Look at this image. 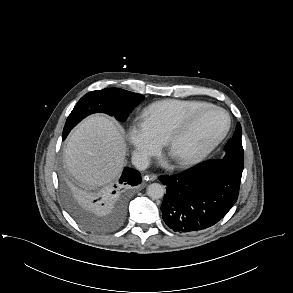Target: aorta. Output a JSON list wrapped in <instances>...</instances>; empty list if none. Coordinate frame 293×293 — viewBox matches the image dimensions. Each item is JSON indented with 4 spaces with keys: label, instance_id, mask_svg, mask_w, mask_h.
<instances>
[{
    "label": "aorta",
    "instance_id": "1",
    "mask_svg": "<svg viewBox=\"0 0 293 293\" xmlns=\"http://www.w3.org/2000/svg\"><path fill=\"white\" fill-rule=\"evenodd\" d=\"M165 189L159 183H152L147 188V195L154 200L160 199L164 196Z\"/></svg>",
    "mask_w": 293,
    "mask_h": 293
}]
</instances>
